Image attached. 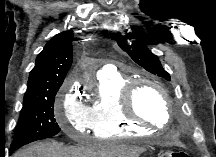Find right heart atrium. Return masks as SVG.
I'll return each mask as SVG.
<instances>
[{
    "mask_svg": "<svg viewBox=\"0 0 216 157\" xmlns=\"http://www.w3.org/2000/svg\"><path fill=\"white\" fill-rule=\"evenodd\" d=\"M61 111L57 122L62 130L70 136H77L91 128L89 108L82 102L78 88L67 81L62 90Z\"/></svg>",
    "mask_w": 216,
    "mask_h": 157,
    "instance_id": "right-heart-atrium-1",
    "label": "right heart atrium"
}]
</instances>
